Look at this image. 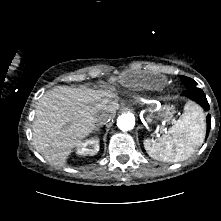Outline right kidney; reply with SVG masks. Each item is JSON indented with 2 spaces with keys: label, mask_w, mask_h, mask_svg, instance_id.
<instances>
[{
  "label": "right kidney",
  "mask_w": 221,
  "mask_h": 221,
  "mask_svg": "<svg viewBox=\"0 0 221 221\" xmlns=\"http://www.w3.org/2000/svg\"><path fill=\"white\" fill-rule=\"evenodd\" d=\"M99 151V139L91 138L85 142L80 143L77 146L76 153L78 155H90L93 156Z\"/></svg>",
  "instance_id": "right-kidney-1"
}]
</instances>
